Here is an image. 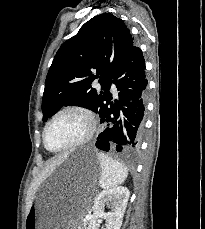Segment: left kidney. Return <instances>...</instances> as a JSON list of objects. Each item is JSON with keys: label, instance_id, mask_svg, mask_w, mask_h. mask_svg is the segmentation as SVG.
I'll use <instances>...</instances> for the list:
<instances>
[{"label": "left kidney", "instance_id": "obj_1", "mask_svg": "<svg viewBox=\"0 0 205 229\" xmlns=\"http://www.w3.org/2000/svg\"><path fill=\"white\" fill-rule=\"evenodd\" d=\"M129 196V190L123 186L100 192L94 200L93 215L87 229H98L100 219L106 220L107 229H120ZM105 206L110 212H104Z\"/></svg>", "mask_w": 205, "mask_h": 229}]
</instances>
